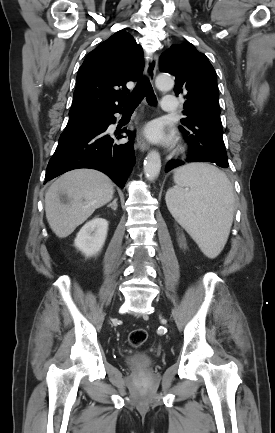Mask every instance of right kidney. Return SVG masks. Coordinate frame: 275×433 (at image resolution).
I'll use <instances>...</instances> for the list:
<instances>
[{
  "label": "right kidney",
  "instance_id": "1",
  "mask_svg": "<svg viewBox=\"0 0 275 433\" xmlns=\"http://www.w3.org/2000/svg\"><path fill=\"white\" fill-rule=\"evenodd\" d=\"M108 221L104 218L94 217L88 221L78 232L74 245L85 256L98 254L107 237Z\"/></svg>",
  "mask_w": 275,
  "mask_h": 433
}]
</instances>
